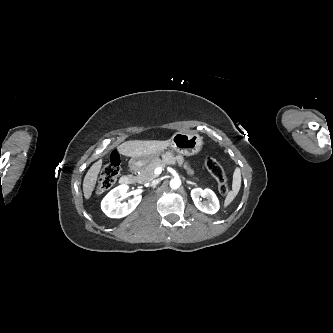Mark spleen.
I'll use <instances>...</instances> for the list:
<instances>
[{
    "label": "spleen",
    "mask_w": 333,
    "mask_h": 333,
    "mask_svg": "<svg viewBox=\"0 0 333 333\" xmlns=\"http://www.w3.org/2000/svg\"><path fill=\"white\" fill-rule=\"evenodd\" d=\"M240 187H241V171L239 168H236L233 173L232 190L227 193L224 201L225 207H227L233 202V200L235 199L240 190Z\"/></svg>",
    "instance_id": "spleen-1"
}]
</instances>
